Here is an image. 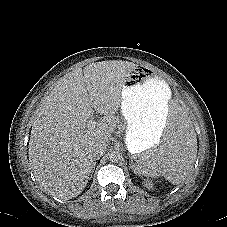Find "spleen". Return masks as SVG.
<instances>
[{
  "instance_id": "obj_1",
  "label": "spleen",
  "mask_w": 227,
  "mask_h": 227,
  "mask_svg": "<svg viewBox=\"0 0 227 227\" xmlns=\"http://www.w3.org/2000/svg\"><path fill=\"white\" fill-rule=\"evenodd\" d=\"M190 112L177 106L171 112L169 134L155 151H144L136 159V170L144 178L164 176L172 184L184 182L197 156V139L189 124Z\"/></svg>"
}]
</instances>
